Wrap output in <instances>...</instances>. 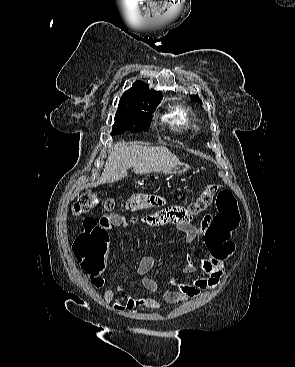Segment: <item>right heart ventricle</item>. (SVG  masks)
Segmentation results:
<instances>
[{"instance_id": "e07e8e85", "label": "right heart ventricle", "mask_w": 295, "mask_h": 367, "mask_svg": "<svg viewBox=\"0 0 295 367\" xmlns=\"http://www.w3.org/2000/svg\"><path fill=\"white\" fill-rule=\"evenodd\" d=\"M163 120L176 129L187 128L192 124V118L188 110L177 106L163 116Z\"/></svg>"}]
</instances>
